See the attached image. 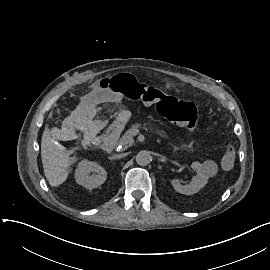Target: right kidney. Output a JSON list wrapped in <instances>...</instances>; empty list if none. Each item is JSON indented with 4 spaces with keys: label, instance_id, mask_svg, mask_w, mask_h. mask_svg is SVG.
Wrapping results in <instances>:
<instances>
[{
    "label": "right kidney",
    "instance_id": "right-kidney-1",
    "mask_svg": "<svg viewBox=\"0 0 270 270\" xmlns=\"http://www.w3.org/2000/svg\"><path fill=\"white\" fill-rule=\"evenodd\" d=\"M93 173L90 175V173ZM107 178V172L96 162L82 160L78 163L75 171V179L79 185L87 189L97 188L102 185Z\"/></svg>",
    "mask_w": 270,
    "mask_h": 270
}]
</instances>
